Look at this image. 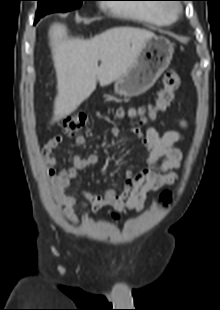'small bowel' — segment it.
Wrapping results in <instances>:
<instances>
[{
    "label": "small bowel",
    "mask_w": 220,
    "mask_h": 310,
    "mask_svg": "<svg viewBox=\"0 0 220 310\" xmlns=\"http://www.w3.org/2000/svg\"><path fill=\"white\" fill-rule=\"evenodd\" d=\"M181 125L185 126L186 123L182 121ZM133 132L143 141L148 150L147 166L136 174L129 169L126 170L120 184L122 187L120 192L116 187L108 189L104 195L80 190V195L91 204L94 212L106 206L114 207L119 211L140 212L151 192L172 185L178 180L183 158L178 143L182 140V134L174 130L160 134L154 127L148 128L145 134L139 128H133ZM110 133L112 140H117L122 134L117 126H113ZM62 141L63 136L56 135L43 146L42 164L55 185V198L62 215L71 223L77 224L78 217L74 210L76 198L67 194L66 190L74 184L80 172L99 161V156L77 155L73 158L71 167L57 171L55 167L58 166L59 161L55 151ZM75 143L78 146H85L87 137L82 134L77 135Z\"/></svg>",
    "instance_id": "c3829d8e"
}]
</instances>
